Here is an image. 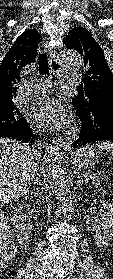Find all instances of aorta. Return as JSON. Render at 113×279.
I'll return each mask as SVG.
<instances>
[{"instance_id":"762f6f07","label":"aorta","mask_w":113,"mask_h":279,"mask_svg":"<svg viewBox=\"0 0 113 279\" xmlns=\"http://www.w3.org/2000/svg\"><path fill=\"white\" fill-rule=\"evenodd\" d=\"M58 55L64 66L71 70L81 67L83 59L81 55L72 49L63 48ZM69 144L68 136H61L47 148L45 155L44 170L55 196L59 209L65 216L72 208L69 182L60 162V152Z\"/></svg>"}]
</instances>
